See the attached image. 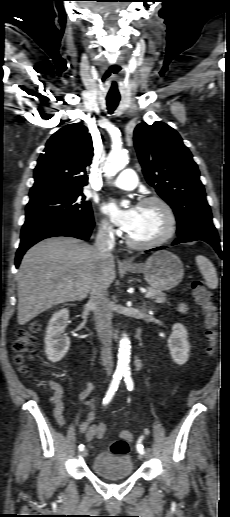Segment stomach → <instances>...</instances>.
I'll return each instance as SVG.
<instances>
[{
    "label": "stomach",
    "instance_id": "stomach-1",
    "mask_svg": "<svg viewBox=\"0 0 230 517\" xmlns=\"http://www.w3.org/2000/svg\"><path fill=\"white\" fill-rule=\"evenodd\" d=\"M132 273H142L147 283L161 291L176 287L184 276L182 261L169 251L152 254L145 263L126 267Z\"/></svg>",
    "mask_w": 230,
    "mask_h": 517
}]
</instances>
